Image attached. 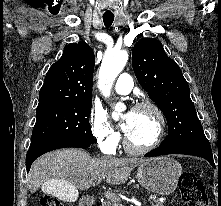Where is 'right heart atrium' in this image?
I'll return each mask as SVG.
<instances>
[{"label": "right heart atrium", "instance_id": "right-heart-atrium-1", "mask_svg": "<svg viewBox=\"0 0 221 206\" xmlns=\"http://www.w3.org/2000/svg\"><path fill=\"white\" fill-rule=\"evenodd\" d=\"M89 123L92 135L99 148L104 153H114L118 146L120 135L111 126L104 111L99 108H92Z\"/></svg>", "mask_w": 221, "mask_h": 206}]
</instances>
